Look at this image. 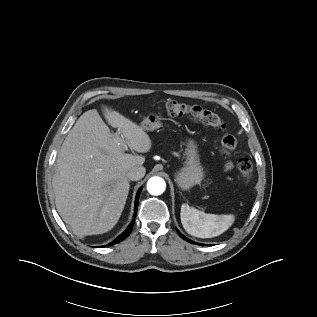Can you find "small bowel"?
<instances>
[{
    "instance_id": "obj_1",
    "label": "small bowel",
    "mask_w": 317,
    "mask_h": 317,
    "mask_svg": "<svg viewBox=\"0 0 317 317\" xmlns=\"http://www.w3.org/2000/svg\"><path fill=\"white\" fill-rule=\"evenodd\" d=\"M231 163L230 162H227L225 165H224V168L225 170H229L231 168Z\"/></svg>"
}]
</instances>
